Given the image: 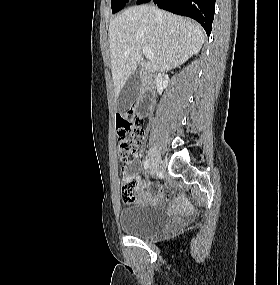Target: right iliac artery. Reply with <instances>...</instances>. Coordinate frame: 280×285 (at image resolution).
<instances>
[{"label":"right iliac artery","instance_id":"right-iliac-artery-1","mask_svg":"<svg viewBox=\"0 0 280 285\" xmlns=\"http://www.w3.org/2000/svg\"><path fill=\"white\" fill-rule=\"evenodd\" d=\"M148 167H149V162H148V160L146 159V160L144 161V169L147 170Z\"/></svg>","mask_w":280,"mask_h":285}]
</instances>
